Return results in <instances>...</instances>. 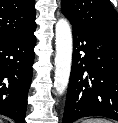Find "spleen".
Returning a JSON list of instances; mask_svg holds the SVG:
<instances>
[{"mask_svg": "<svg viewBox=\"0 0 118 123\" xmlns=\"http://www.w3.org/2000/svg\"><path fill=\"white\" fill-rule=\"evenodd\" d=\"M82 123H111V122L103 118H90L84 120Z\"/></svg>", "mask_w": 118, "mask_h": 123, "instance_id": "1", "label": "spleen"}]
</instances>
